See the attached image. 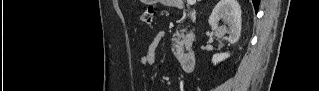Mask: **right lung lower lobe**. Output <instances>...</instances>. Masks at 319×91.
I'll list each match as a JSON object with an SVG mask.
<instances>
[{"label":"right lung lower lobe","instance_id":"1","mask_svg":"<svg viewBox=\"0 0 319 91\" xmlns=\"http://www.w3.org/2000/svg\"><path fill=\"white\" fill-rule=\"evenodd\" d=\"M256 13L258 12V7L260 0H252Z\"/></svg>","mask_w":319,"mask_h":91}]
</instances>
